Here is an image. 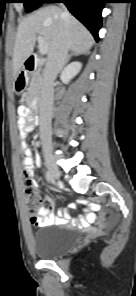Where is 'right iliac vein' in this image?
Masks as SVG:
<instances>
[{"instance_id": "63e3f726", "label": "right iliac vein", "mask_w": 136, "mask_h": 296, "mask_svg": "<svg viewBox=\"0 0 136 296\" xmlns=\"http://www.w3.org/2000/svg\"><path fill=\"white\" fill-rule=\"evenodd\" d=\"M45 163L48 168V171L52 177V180H58L60 177V171L56 163L54 162L53 156L51 153L45 155Z\"/></svg>"}]
</instances>
